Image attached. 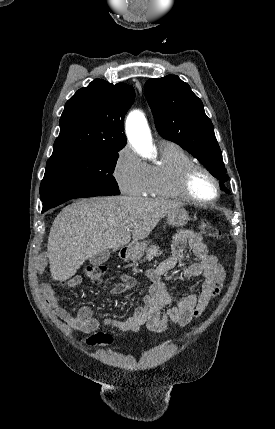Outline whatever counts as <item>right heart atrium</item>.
I'll return each instance as SVG.
<instances>
[{"mask_svg":"<svg viewBox=\"0 0 275 429\" xmlns=\"http://www.w3.org/2000/svg\"><path fill=\"white\" fill-rule=\"evenodd\" d=\"M113 175L125 194H145L149 182V166L129 146H123L117 152Z\"/></svg>","mask_w":275,"mask_h":429,"instance_id":"obj_1","label":"right heart atrium"}]
</instances>
